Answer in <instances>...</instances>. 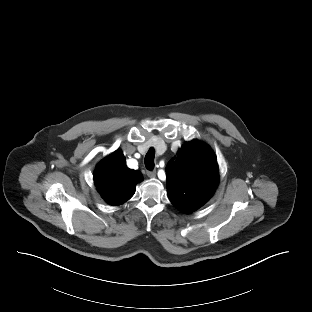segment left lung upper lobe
<instances>
[{
	"instance_id": "5c2ea615",
	"label": "left lung upper lobe",
	"mask_w": 312,
	"mask_h": 312,
	"mask_svg": "<svg viewBox=\"0 0 312 312\" xmlns=\"http://www.w3.org/2000/svg\"><path fill=\"white\" fill-rule=\"evenodd\" d=\"M167 193L171 203L184 213H191L214 194L218 165L206 144L193 140L185 143L166 167Z\"/></svg>"
}]
</instances>
